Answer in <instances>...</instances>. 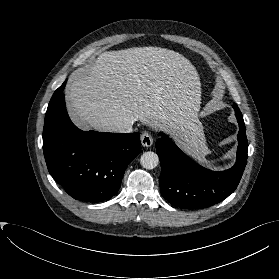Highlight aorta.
Masks as SVG:
<instances>
[{
    "label": "aorta",
    "instance_id": "762f6f07",
    "mask_svg": "<svg viewBox=\"0 0 279 279\" xmlns=\"http://www.w3.org/2000/svg\"><path fill=\"white\" fill-rule=\"evenodd\" d=\"M140 164L145 169H154L159 164V157L154 152L151 151L144 152L140 158Z\"/></svg>",
    "mask_w": 279,
    "mask_h": 279
}]
</instances>
